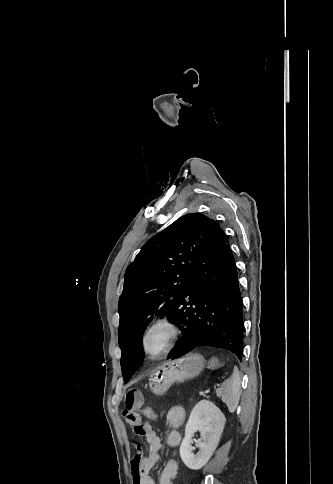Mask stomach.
Instances as JSON below:
<instances>
[{"mask_svg": "<svg viewBox=\"0 0 333 484\" xmlns=\"http://www.w3.org/2000/svg\"><path fill=\"white\" fill-rule=\"evenodd\" d=\"M205 363L204 357L198 353H188L164 362L150 373V390L157 396H163L174 382H183L197 376ZM207 365L209 369L220 367L216 358L210 359Z\"/></svg>", "mask_w": 333, "mask_h": 484, "instance_id": "stomach-1", "label": "stomach"}]
</instances>
